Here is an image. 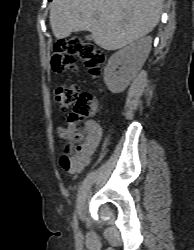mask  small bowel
Segmentation results:
<instances>
[{"label":"small bowel","mask_w":194,"mask_h":250,"mask_svg":"<svg viewBox=\"0 0 194 250\" xmlns=\"http://www.w3.org/2000/svg\"><path fill=\"white\" fill-rule=\"evenodd\" d=\"M76 132V128L72 124H66L58 128L61 138H72ZM102 137V128L96 121H88L86 124V139L81 146V152L77 159L71 165L63 168L69 174H79L89 164L91 155L95 151Z\"/></svg>","instance_id":"c3829d8e"}]
</instances>
